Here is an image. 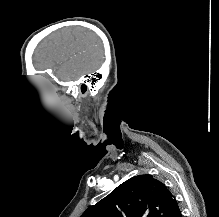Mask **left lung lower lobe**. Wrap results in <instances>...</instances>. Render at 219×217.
<instances>
[{
	"mask_svg": "<svg viewBox=\"0 0 219 217\" xmlns=\"http://www.w3.org/2000/svg\"><path fill=\"white\" fill-rule=\"evenodd\" d=\"M176 217H183L181 214V211L178 213V215Z\"/></svg>",
	"mask_w": 219,
	"mask_h": 217,
	"instance_id": "1",
	"label": "left lung lower lobe"
}]
</instances>
